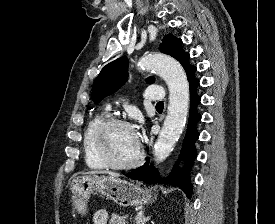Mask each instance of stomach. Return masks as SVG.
<instances>
[{
	"instance_id": "0dacf381",
	"label": "stomach",
	"mask_w": 275,
	"mask_h": 224,
	"mask_svg": "<svg viewBox=\"0 0 275 224\" xmlns=\"http://www.w3.org/2000/svg\"><path fill=\"white\" fill-rule=\"evenodd\" d=\"M70 189L74 209L81 214L86 213L92 193H99L125 207L143 205L152 198L150 191L140 185L111 176H78L72 180Z\"/></svg>"
}]
</instances>
